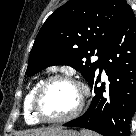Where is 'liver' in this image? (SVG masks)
<instances>
[{
	"instance_id": "liver-1",
	"label": "liver",
	"mask_w": 136,
	"mask_h": 136,
	"mask_svg": "<svg viewBox=\"0 0 136 136\" xmlns=\"http://www.w3.org/2000/svg\"><path fill=\"white\" fill-rule=\"evenodd\" d=\"M61 128H47L32 130L27 136H50Z\"/></svg>"
}]
</instances>
